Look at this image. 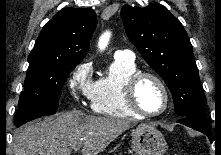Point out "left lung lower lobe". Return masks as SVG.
Here are the masks:
<instances>
[{"label": "left lung lower lobe", "mask_w": 221, "mask_h": 155, "mask_svg": "<svg viewBox=\"0 0 221 155\" xmlns=\"http://www.w3.org/2000/svg\"><path fill=\"white\" fill-rule=\"evenodd\" d=\"M177 122L206 134L212 142V129L207 121V118L200 116H188L183 117Z\"/></svg>", "instance_id": "0a47b994"}]
</instances>
